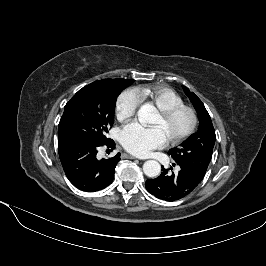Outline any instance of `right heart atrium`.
<instances>
[{
    "label": "right heart atrium",
    "mask_w": 266,
    "mask_h": 266,
    "mask_svg": "<svg viewBox=\"0 0 266 266\" xmlns=\"http://www.w3.org/2000/svg\"><path fill=\"white\" fill-rule=\"evenodd\" d=\"M142 103V96L137 89L123 91L117 99L116 116L119 120L131 118Z\"/></svg>",
    "instance_id": "1"
}]
</instances>
